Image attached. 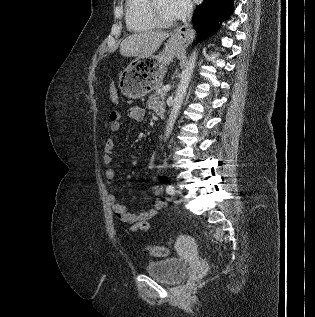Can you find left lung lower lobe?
<instances>
[{"instance_id":"0a47b994","label":"left lung lower lobe","mask_w":315,"mask_h":317,"mask_svg":"<svg viewBox=\"0 0 315 317\" xmlns=\"http://www.w3.org/2000/svg\"><path fill=\"white\" fill-rule=\"evenodd\" d=\"M234 9L233 0H206L198 6L193 15V25L200 38L216 31L217 23Z\"/></svg>"}]
</instances>
